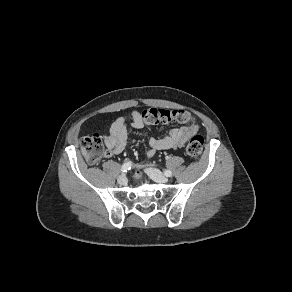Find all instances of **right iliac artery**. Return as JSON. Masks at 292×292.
Here are the masks:
<instances>
[{"instance_id": "82829eb1", "label": "right iliac artery", "mask_w": 292, "mask_h": 292, "mask_svg": "<svg viewBox=\"0 0 292 292\" xmlns=\"http://www.w3.org/2000/svg\"><path fill=\"white\" fill-rule=\"evenodd\" d=\"M131 166H132V162L131 161H128V162L124 163L122 165L121 172L122 173H126L127 171H129L131 169Z\"/></svg>"}]
</instances>
